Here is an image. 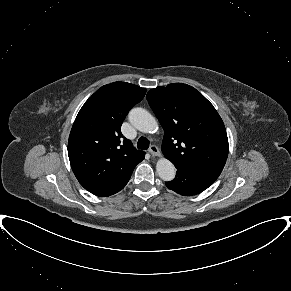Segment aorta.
<instances>
[{"label":"aorta","mask_w":291,"mask_h":291,"mask_svg":"<svg viewBox=\"0 0 291 291\" xmlns=\"http://www.w3.org/2000/svg\"><path fill=\"white\" fill-rule=\"evenodd\" d=\"M130 123L139 131L144 133H153L157 129L156 119L143 108H133L129 112ZM158 176L164 181H171L176 174V168L173 163L166 159L160 158L156 163Z\"/></svg>","instance_id":"762f6f07"}]
</instances>
